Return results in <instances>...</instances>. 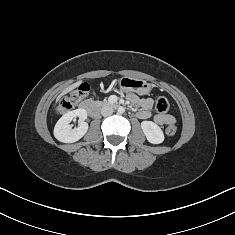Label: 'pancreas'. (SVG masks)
Returning <instances> with one entry per match:
<instances>
[{
	"mask_svg": "<svg viewBox=\"0 0 235 235\" xmlns=\"http://www.w3.org/2000/svg\"><path fill=\"white\" fill-rule=\"evenodd\" d=\"M98 104H100V105H104V104H106V102L104 101V102H100V101H98L97 102Z\"/></svg>",
	"mask_w": 235,
	"mask_h": 235,
	"instance_id": "cf45deb5",
	"label": "pancreas"
}]
</instances>
